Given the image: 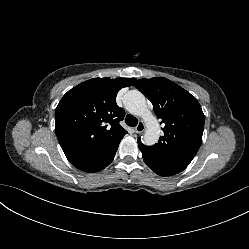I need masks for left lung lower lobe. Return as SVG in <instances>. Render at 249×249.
<instances>
[{
    "mask_svg": "<svg viewBox=\"0 0 249 249\" xmlns=\"http://www.w3.org/2000/svg\"><path fill=\"white\" fill-rule=\"evenodd\" d=\"M140 150L146 165L160 176H171L177 174L188 166V163L155 157L146 153L142 149Z\"/></svg>",
    "mask_w": 249,
    "mask_h": 249,
    "instance_id": "obj_1",
    "label": "left lung lower lobe"
}]
</instances>
